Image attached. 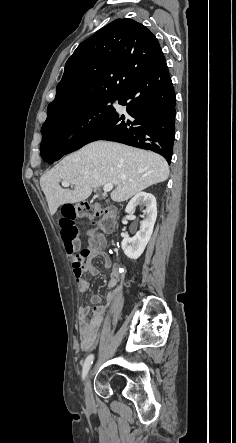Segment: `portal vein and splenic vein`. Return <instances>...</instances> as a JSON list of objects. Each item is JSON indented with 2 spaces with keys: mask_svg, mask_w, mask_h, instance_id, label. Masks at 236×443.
<instances>
[{
  "mask_svg": "<svg viewBox=\"0 0 236 443\" xmlns=\"http://www.w3.org/2000/svg\"><path fill=\"white\" fill-rule=\"evenodd\" d=\"M62 186L67 188V187L70 186V183L67 182V181H62ZM112 189H113V184H106V185H104V187H103L104 192H109V191H111Z\"/></svg>",
  "mask_w": 236,
  "mask_h": 443,
  "instance_id": "18ae733b",
  "label": "portal vein and splenic vein"
}]
</instances>
